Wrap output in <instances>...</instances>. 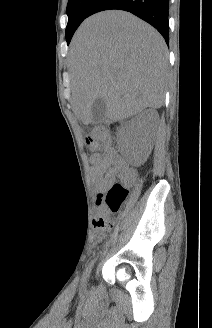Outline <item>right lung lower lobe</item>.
<instances>
[{
    "instance_id": "1",
    "label": "right lung lower lobe",
    "mask_w": 212,
    "mask_h": 328,
    "mask_svg": "<svg viewBox=\"0 0 212 328\" xmlns=\"http://www.w3.org/2000/svg\"><path fill=\"white\" fill-rule=\"evenodd\" d=\"M118 9L131 12L155 27L169 39V0H96L88 12V17L104 10Z\"/></svg>"
}]
</instances>
